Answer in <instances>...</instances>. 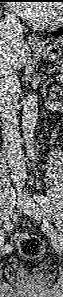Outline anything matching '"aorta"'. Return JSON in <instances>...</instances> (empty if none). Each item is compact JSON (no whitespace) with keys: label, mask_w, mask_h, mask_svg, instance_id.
<instances>
[{"label":"aorta","mask_w":63,"mask_h":297,"mask_svg":"<svg viewBox=\"0 0 63 297\" xmlns=\"http://www.w3.org/2000/svg\"><path fill=\"white\" fill-rule=\"evenodd\" d=\"M38 111L39 108L37 96L29 94L23 101L22 128L24 139L27 143V153L31 156L34 155L32 143L34 129L38 118Z\"/></svg>","instance_id":"obj_1"}]
</instances>
